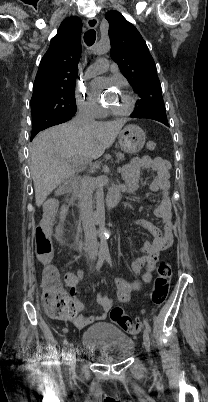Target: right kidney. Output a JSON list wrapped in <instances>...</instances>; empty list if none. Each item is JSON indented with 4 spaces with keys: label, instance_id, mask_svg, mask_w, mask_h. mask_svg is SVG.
Masks as SVG:
<instances>
[{
    "label": "right kidney",
    "instance_id": "right-kidney-1",
    "mask_svg": "<svg viewBox=\"0 0 208 402\" xmlns=\"http://www.w3.org/2000/svg\"><path fill=\"white\" fill-rule=\"evenodd\" d=\"M67 212H68L67 206H61L60 212H59L60 224L56 228L55 238H56V240H58V242H62V244H63V240L61 238V236H63L62 226H63V222L67 216Z\"/></svg>",
    "mask_w": 208,
    "mask_h": 402
}]
</instances>
